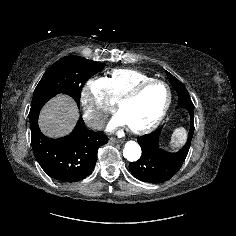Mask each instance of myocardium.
Segmentation results:
<instances>
[{
    "label": "myocardium",
    "instance_id": "f54148a6",
    "mask_svg": "<svg viewBox=\"0 0 236 236\" xmlns=\"http://www.w3.org/2000/svg\"><path fill=\"white\" fill-rule=\"evenodd\" d=\"M153 84H161L164 85L167 89L168 92V99L166 104L164 105V107L162 108L161 112L159 113V115L156 117V119L154 121H152L150 124L142 126V127H132V126H128V129L134 133V134H145L148 133L152 130H154L156 127L159 126V124L162 122V120L164 119V117L166 116L171 104H172V99H173V94H172V89L170 87V85L160 79H150L148 81L142 82L138 85H136L133 89H131L129 92H127L126 94H124L123 96H121L117 101H116V105H117V109L120 112L121 108L127 104L132 102L133 100H135L136 98H138V96L149 86L153 85Z\"/></svg>",
    "mask_w": 236,
    "mask_h": 236
}]
</instances>
